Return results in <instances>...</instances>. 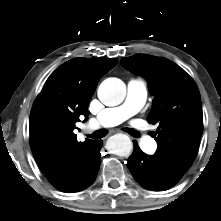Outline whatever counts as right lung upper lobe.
<instances>
[{"label":"right lung upper lobe","mask_w":221,"mask_h":221,"mask_svg":"<svg viewBox=\"0 0 221 221\" xmlns=\"http://www.w3.org/2000/svg\"><path fill=\"white\" fill-rule=\"evenodd\" d=\"M116 59L74 58L47 79L30 113V146L53 185H62L94 143L78 142L75 123L88 116V105L100 78Z\"/></svg>","instance_id":"obj_1"}]
</instances>
